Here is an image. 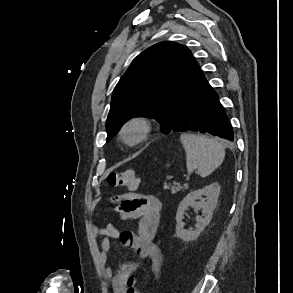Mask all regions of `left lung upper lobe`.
Returning <instances> with one entry per match:
<instances>
[{"label": "left lung upper lobe", "instance_id": "5c2ea615", "mask_svg": "<svg viewBox=\"0 0 293 293\" xmlns=\"http://www.w3.org/2000/svg\"><path fill=\"white\" fill-rule=\"evenodd\" d=\"M209 86L190 50L165 41L139 54L114 88L107 117V139L134 117H149L167 133L188 103Z\"/></svg>", "mask_w": 293, "mask_h": 293}]
</instances>
